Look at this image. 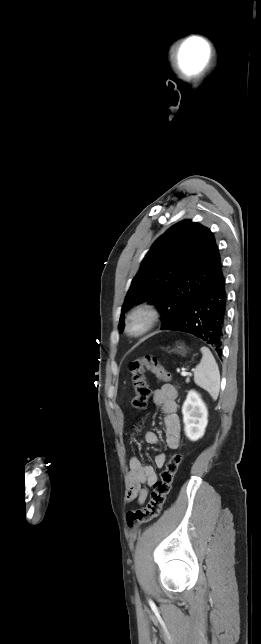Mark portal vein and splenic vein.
<instances>
[{"label": "portal vein and splenic vein", "mask_w": 261, "mask_h": 644, "mask_svg": "<svg viewBox=\"0 0 261 644\" xmlns=\"http://www.w3.org/2000/svg\"><path fill=\"white\" fill-rule=\"evenodd\" d=\"M180 374H181V376H183V377L190 375V373H188V372H186V371H182Z\"/></svg>", "instance_id": "portal-vein-and-splenic-vein-1"}]
</instances>
